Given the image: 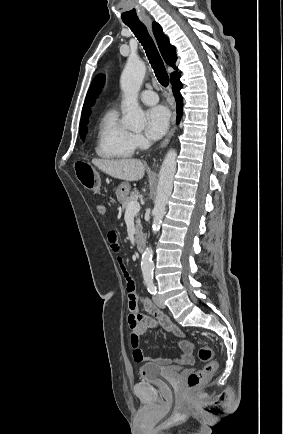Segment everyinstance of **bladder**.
Instances as JSON below:
<instances>
[{
    "instance_id": "obj_1",
    "label": "bladder",
    "mask_w": 283,
    "mask_h": 434,
    "mask_svg": "<svg viewBox=\"0 0 283 434\" xmlns=\"http://www.w3.org/2000/svg\"><path fill=\"white\" fill-rule=\"evenodd\" d=\"M178 372L175 368L148 363L141 367L139 377L143 382H160L177 376Z\"/></svg>"
}]
</instances>
